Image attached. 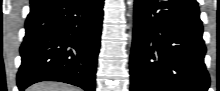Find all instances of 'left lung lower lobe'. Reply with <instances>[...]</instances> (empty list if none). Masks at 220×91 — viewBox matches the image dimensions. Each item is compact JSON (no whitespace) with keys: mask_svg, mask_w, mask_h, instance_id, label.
Instances as JSON below:
<instances>
[{"mask_svg":"<svg viewBox=\"0 0 220 91\" xmlns=\"http://www.w3.org/2000/svg\"><path fill=\"white\" fill-rule=\"evenodd\" d=\"M196 0H135L131 91H207Z\"/></svg>","mask_w":220,"mask_h":91,"instance_id":"1","label":"left lung lower lobe"}]
</instances>
